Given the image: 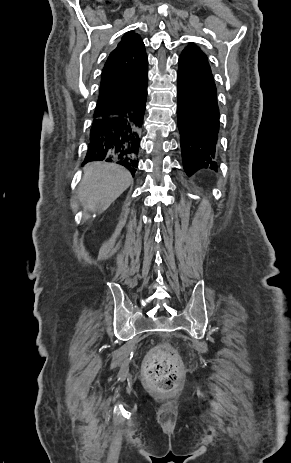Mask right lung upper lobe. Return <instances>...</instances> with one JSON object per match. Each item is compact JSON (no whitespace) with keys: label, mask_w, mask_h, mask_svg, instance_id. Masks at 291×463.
Wrapping results in <instances>:
<instances>
[{"label":"right lung upper lobe","mask_w":291,"mask_h":463,"mask_svg":"<svg viewBox=\"0 0 291 463\" xmlns=\"http://www.w3.org/2000/svg\"><path fill=\"white\" fill-rule=\"evenodd\" d=\"M148 75V57L141 37L133 32L123 35L102 70L99 98L94 119L103 118L140 88Z\"/></svg>","instance_id":"right-lung-upper-lobe-1"}]
</instances>
